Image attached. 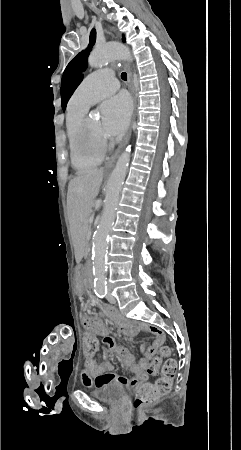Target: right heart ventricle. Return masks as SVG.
I'll return each instance as SVG.
<instances>
[{
    "instance_id": "obj_1",
    "label": "right heart ventricle",
    "mask_w": 241,
    "mask_h": 450,
    "mask_svg": "<svg viewBox=\"0 0 241 450\" xmlns=\"http://www.w3.org/2000/svg\"><path fill=\"white\" fill-rule=\"evenodd\" d=\"M88 109V106L81 102H75L71 101L68 111H67V119H66V125H67V136L69 139L70 144V153H71V160L77 169H85L89 167L96 166L100 163L102 157H84L81 153H76V145L77 143L74 142V137L77 136L75 133V127L76 125L85 118V113ZM88 124V120L86 122ZM88 138V136H87ZM89 139V138H88ZM95 155V153H94Z\"/></svg>"
}]
</instances>
